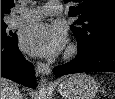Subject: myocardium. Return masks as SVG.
<instances>
[{
	"label": "myocardium",
	"instance_id": "obj_1",
	"mask_svg": "<svg viewBox=\"0 0 115 99\" xmlns=\"http://www.w3.org/2000/svg\"><path fill=\"white\" fill-rule=\"evenodd\" d=\"M77 53V46L74 44H71L68 46L66 53H65V57L66 58H71L73 57L75 54Z\"/></svg>",
	"mask_w": 115,
	"mask_h": 99
}]
</instances>
